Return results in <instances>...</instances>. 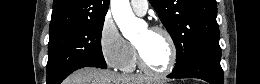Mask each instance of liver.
Here are the masks:
<instances>
[{
  "mask_svg": "<svg viewBox=\"0 0 260 84\" xmlns=\"http://www.w3.org/2000/svg\"><path fill=\"white\" fill-rule=\"evenodd\" d=\"M66 84H153V80L141 75H121L109 70L85 67L72 73Z\"/></svg>",
  "mask_w": 260,
  "mask_h": 84,
  "instance_id": "6515ba94",
  "label": "liver"
}]
</instances>
